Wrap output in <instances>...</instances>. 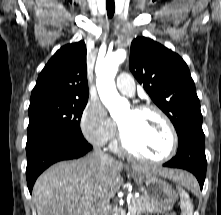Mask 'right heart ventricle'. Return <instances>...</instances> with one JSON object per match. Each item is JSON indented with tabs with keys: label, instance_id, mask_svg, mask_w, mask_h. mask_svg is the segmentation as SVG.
Here are the masks:
<instances>
[{
	"label": "right heart ventricle",
	"instance_id": "e07e8e85",
	"mask_svg": "<svg viewBox=\"0 0 221 215\" xmlns=\"http://www.w3.org/2000/svg\"><path fill=\"white\" fill-rule=\"evenodd\" d=\"M113 148L116 149V144L113 145Z\"/></svg>",
	"mask_w": 221,
	"mask_h": 215
}]
</instances>
